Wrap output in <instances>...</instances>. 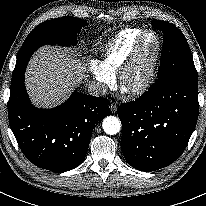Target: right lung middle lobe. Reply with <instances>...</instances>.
Wrapping results in <instances>:
<instances>
[{
	"mask_svg": "<svg viewBox=\"0 0 206 206\" xmlns=\"http://www.w3.org/2000/svg\"><path fill=\"white\" fill-rule=\"evenodd\" d=\"M85 24V21L78 18L63 17L45 21L35 27L19 51L12 81L20 77L38 47L45 44L74 45L78 30Z\"/></svg>",
	"mask_w": 206,
	"mask_h": 206,
	"instance_id": "right-lung-middle-lobe-1",
	"label": "right lung middle lobe"
}]
</instances>
